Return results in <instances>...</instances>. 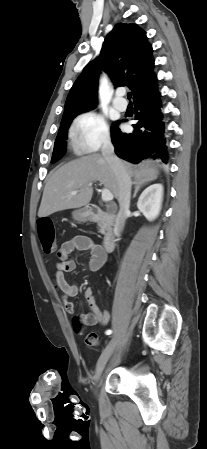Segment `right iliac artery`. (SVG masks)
I'll return each instance as SVG.
<instances>
[{
  "label": "right iliac artery",
  "mask_w": 207,
  "mask_h": 449,
  "mask_svg": "<svg viewBox=\"0 0 207 449\" xmlns=\"http://www.w3.org/2000/svg\"><path fill=\"white\" fill-rule=\"evenodd\" d=\"M105 333L106 335H110L112 333V330H107Z\"/></svg>",
  "instance_id": "82829eb1"
}]
</instances>
